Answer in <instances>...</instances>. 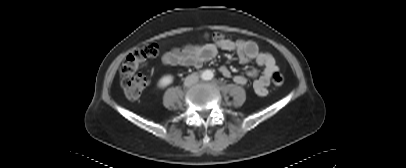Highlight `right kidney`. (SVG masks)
Segmentation results:
<instances>
[{
    "label": "right kidney",
    "mask_w": 406,
    "mask_h": 168,
    "mask_svg": "<svg viewBox=\"0 0 406 168\" xmlns=\"http://www.w3.org/2000/svg\"><path fill=\"white\" fill-rule=\"evenodd\" d=\"M172 82H173V76L165 75L159 80L158 87L164 88V87L168 86L169 84H171Z\"/></svg>",
    "instance_id": "right-kidney-1"
}]
</instances>
